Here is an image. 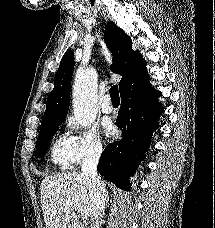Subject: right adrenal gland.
Here are the masks:
<instances>
[{"mask_svg":"<svg viewBox=\"0 0 215 228\" xmlns=\"http://www.w3.org/2000/svg\"><path fill=\"white\" fill-rule=\"evenodd\" d=\"M106 202H107V204H108V202H109V198H108V196H107V200H106Z\"/></svg>","mask_w":215,"mask_h":228,"instance_id":"2a0ac1e0","label":"right adrenal gland"}]
</instances>
